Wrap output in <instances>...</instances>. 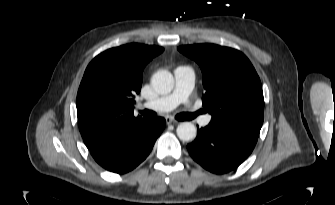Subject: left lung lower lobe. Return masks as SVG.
<instances>
[{
	"label": "left lung lower lobe",
	"instance_id": "0a47b994",
	"mask_svg": "<svg viewBox=\"0 0 335 205\" xmlns=\"http://www.w3.org/2000/svg\"><path fill=\"white\" fill-rule=\"evenodd\" d=\"M257 138L210 122L187 145L191 157L206 170L223 174L238 167L253 151Z\"/></svg>",
	"mask_w": 335,
	"mask_h": 205
}]
</instances>
